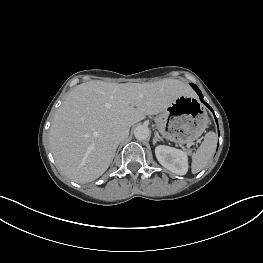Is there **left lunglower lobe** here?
Returning <instances> with one entry per match:
<instances>
[{
    "mask_svg": "<svg viewBox=\"0 0 263 263\" xmlns=\"http://www.w3.org/2000/svg\"><path fill=\"white\" fill-rule=\"evenodd\" d=\"M191 85H192L193 89L197 92V94L199 95L200 100H201L211 111H213L212 108L203 100V95H202L201 91L199 90V88H198L196 85H194V84H191ZM215 119H216V122H217V118H216V117H215Z\"/></svg>",
    "mask_w": 263,
    "mask_h": 263,
    "instance_id": "0a47b994",
    "label": "left lung lower lobe"
}]
</instances>
